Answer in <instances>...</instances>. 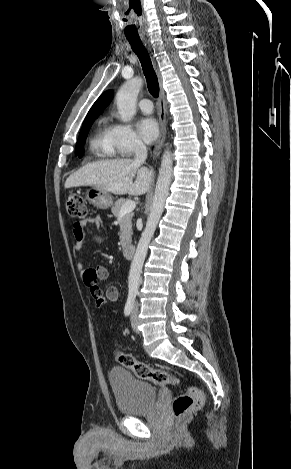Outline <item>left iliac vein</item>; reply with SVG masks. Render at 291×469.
Masks as SVG:
<instances>
[{
	"label": "left iliac vein",
	"mask_w": 291,
	"mask_h": 469,
	"mask_svg": "<svg viewBox=\"0 0 291 469\" xmlns=\"http://www.w3.org/2000/svg\"><path fill=\"white\" fill-rule=\"evenodd\" d=\"M138 312H139L138 304H135L134 307H133V310H132L130 320H131V326H132L134 332H136V333H139V329H138Z\"/></svg>",
	"instance_id": "obj_1"
}]
</instances>
